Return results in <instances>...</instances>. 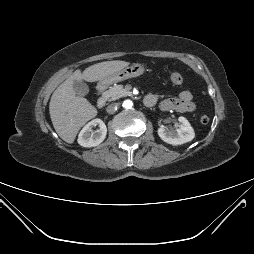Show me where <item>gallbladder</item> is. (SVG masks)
Masks as SVG:
<instances>
[{
  "mask_svg": "<svg viewBox=\"0 0 254 254\" xmlns=\"http://www.w3.org/2000/svg\"><path fill=\"white\" fill-rule=\"evenodd\" d=\"M73 87L78 96H85L89 92L88 85L82 81H74Z\"/></svg>",
  "mask_w": 254,
  "mask_h": 254,
  "instance_id": "1",
  "label": "gallbladder"
}]
</instances>
